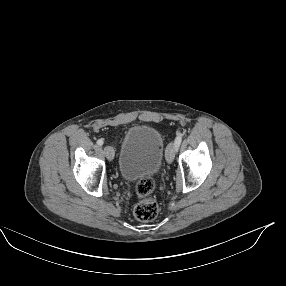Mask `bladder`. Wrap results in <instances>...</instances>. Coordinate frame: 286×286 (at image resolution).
<instances>
[{
    "label": "bladder",
    "mask_w": 286,
    "mask_h": 286,
    "mask_svg": "<svg viewBox=\"0 0 286 286\" xmlns=\"http://www.w3.org/2000/svg\"><path fill=\"white\" fill-rule=\"evenodd\" d=\"M165 143L154 127L136 125L124 134L118 156V170L129 182L150 178L160 172Z\"/></svg>",
    "instance_id": "31cf9c89"
}]
</instances>
